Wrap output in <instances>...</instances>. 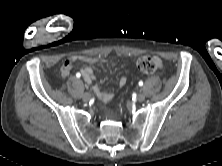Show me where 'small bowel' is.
Wrapping results in <instances>:
<instances>
[{
  "label": "small bowel",
  "instance_id": "c3829d8e",
  "mask_svg": "<svg viewBox=\"0 0 222 166\" xmlns=\"http://www.w3.org/2000/svg\"><path fill=\"white\" fill-rule=\"evenodd\" d=\"M76 61H83L86 63L95 64V63H100L102 61V59L97 58V57H89V56L69 57L64 61L63 65L61 67V74L63 77H66L70 74L73 64ZM80 71H81V74H82L85 82L89 85H93V90H94L96 96L102 102L108 103L113 98V94L111 92L103 90V89L99 88L97 85H94L95 75H94L91 67L84 66L83 68H81ZM126 82H127L126 76H122L119 80V86L120 87L125 86Z\"/></svg>",
  "mask_w": 222,
  "mask_h": 166
}]
</instances>
